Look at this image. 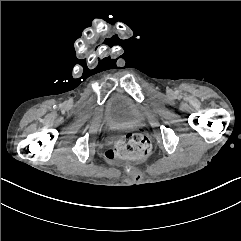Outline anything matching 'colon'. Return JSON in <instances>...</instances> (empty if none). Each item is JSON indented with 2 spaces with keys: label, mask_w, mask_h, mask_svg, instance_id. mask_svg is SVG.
<instances>
[{
  "label": "colon",
  "mask_w": 241,
  "mask_h": 241,
  "mask_svg": "<svg viewBox=\"0 0 241 241\" xmlns=\"http://www.w3.org/2000/svg\"><path fill=\"white\" fill-rule=\"evenodd\" d=\"M152 152V145L147 136L128 133L118 139L115 145L103 153V158L108 163L125 161H138L146 158Z\"/></svg>",
  "instance_id": "obj_1"
}]
</instances>
